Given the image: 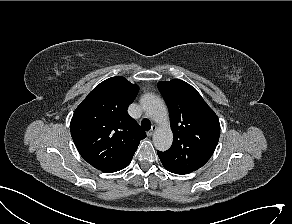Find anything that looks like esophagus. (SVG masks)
<instances>
[{"mask_svg": "<svg viewBox=\"0 0 292 224\" xmlns=\"http://www.w3.org/2000/svg\"><path fill=\"white\" fill-rule=\"evenodd\" d=\"M157 126L153 125L152 128L147 132L148 136H152L154 134V132L156 131Z\"/></svg>", "mask_w": 292, "mask_h": 224, "instance_id": "1", "label": "esophagus"}]
</instances>
